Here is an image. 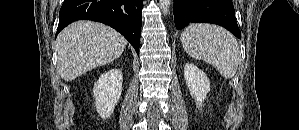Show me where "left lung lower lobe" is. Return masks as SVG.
I'll use <instances>...</instances> for the list:
<instances>
[{
  "label": "left lung lower lobe",
  "mask_w": 299,
  "mask_h": 130,
  "mask_svg": "<svg viewBox=\"0 0 299 130\" xmlns=\"http://www.w3.org/2000/svg\"><path fill=\"white\" fill-rule=\"evenodd\" d=\"M173 1L174 21L177 29H182L189 23H213L226 28L237 38H241L232 0Z\"/></svg>",
  "instance_id": "obj_1"
}]
</instances>
